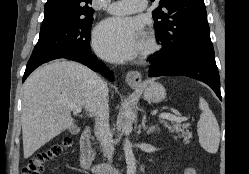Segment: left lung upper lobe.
Here are the masks:
<instances>
[{
  "label": "left lung upper lobe",
  "mask_w": 249,
  "mask_h": 174,
  "mask_svg": "<svg viewBox=\"0 0 249 174\" xmlns=\"http://www.w3.org/2000/svg\"><path fill=\"white\" fill-rule=\"evenodd\" d=\"M152 14L156 40L162 43L160 52L165 58L213 48L203 0H160Z\"/></svg>",
  "instance_id": "5c2ea615"
}]
</instances>
